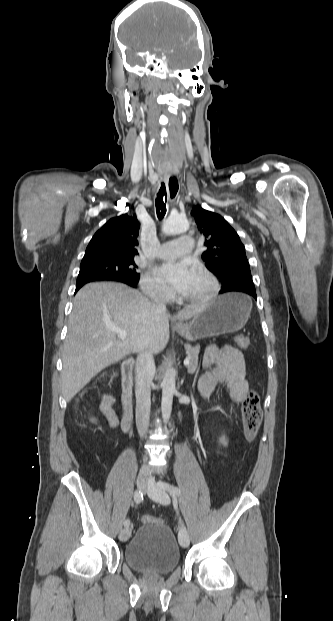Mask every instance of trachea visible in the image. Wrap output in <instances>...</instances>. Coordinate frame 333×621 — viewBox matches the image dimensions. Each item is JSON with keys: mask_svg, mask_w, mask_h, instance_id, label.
I'll return each mask as SVG.
<instances>
[{"mask_svg": "<svg viewBox=\"0 0 333 621\" xmlns=\"http://www.w3.org/2000/svg\"><path fill=\"white\" fill-rule=\"evenodd\" d=\"M164 196H165V202H166L167 194H166L165 184L161 183V187L159 189V192L157 193V198L155 200L157 217L160 220L163 219L167 211L166 204L164 203Z\"/></svg>", "mask_w": 333, "mask_h": 621, "instance_id": "obj_1", "label": "trachea"}]
</instances>
